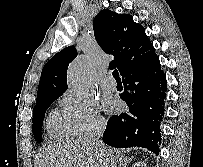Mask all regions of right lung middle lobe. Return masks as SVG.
Listing matches in <instances>:
<instances>
[{"label": "right lung middle lobe", "mask_w": 203, "mask_h": 167, "mask_svg": "<svg viewBox=\"0 0 203 167\" xmlns=\"http://www.w3.org/2000/svg\"><path fill=\"white\" fill-rule=\"evenodd\" d=\"M57 98L58 97L46 99L44 101L37 103L34 107L33 119H32L33 134H34L35 140L38 143H41L42 141L41 130H42V124H43V118H44L45 112Z\"/></svg>", "instance_id": "1"}]
</instances>
